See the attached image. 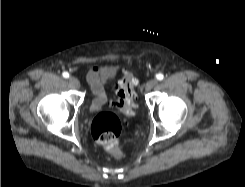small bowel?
Wrapping results in <instances>:
<instances>
[{
    "label": "small bowel",
    "mask_w": 245,
    "mask_h": 187,
    "mask_svg": "<svg viewBox=\"0 0 245 187\" xmlns=\"http://www.w3.org/2000/svg\"><path fill=\"white\" fill-rule=\"evenodd\" d=\"M109 77V69L106 67L93 66L88 72V82L91 86L94 98L91 109L101 108L107 101L106 84Z\"/></svg>",
    "instance_id": "obj_1"
}]
</instances>
